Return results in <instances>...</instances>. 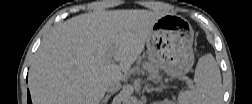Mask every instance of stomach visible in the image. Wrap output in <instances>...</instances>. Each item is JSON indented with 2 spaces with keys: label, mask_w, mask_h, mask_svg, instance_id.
Segmentation results:
<instances>
[{
  "label": "stomach",
  "mask_w": 252,
  "mask_h": 104,
  "mask_svg": "<svg viewBox=\"0 0 252 104\" xmlns=\"http://www.w3.org/2000/svg\"><path fill=\"white\" fill-rule=\"evenodd\" d=\"M193 41L194 31L187 20L164 15L152 27L146 53L153 65L177 78L194 64Z\"/></svg>",
  "instance_id": "stomach-1"
}]
</instances>
